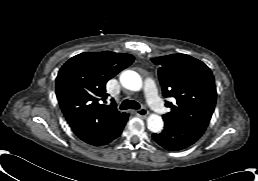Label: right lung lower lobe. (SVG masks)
<instances>
[{"instance_id":"right-lung-lower-lobe-1","label":"right lung lower lobe","mask_w":258,"mask_h":181,"mask_svg":"<svg viewBox=\"0 0 258 181\" xmlns=\"http://www.w3.org/2000/svg\"><path fill=\"white\" fill-rule=\"evenodd\" d=\"M127 120L128 114L124 113L108 121L73 128V132L88 144L94 146L105 145L120 136Z\"/></svg>"}]
</instances>
